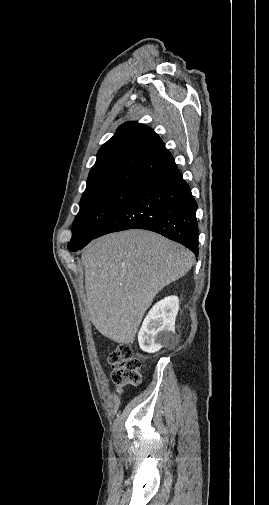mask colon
<instances>
[{"mask_svg": "<svg viewBox=\"0 0 269 505\" xmlns=\"http://www.w3.org/2000/svg\"><path fill=\"white\" fill-rule=\"evenodd\" d=\"M112 382L118 386L137 385L141 380V361L128 344H119L108 355Z\"/></svg>", "mask_w": 269, "mask_h": 505, "instance_id": "obj_1", "label": "colon"}]
</instances>
